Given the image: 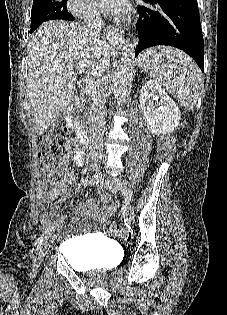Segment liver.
Wrapping results in <instances>:
<instances>
[{
    "label": "liver",
    "instance_id": "obj_1",
    "mask_svg": "<svg viewBox=\"0 0 227 315\" xmlns=\"http://www.w3.org/2000/svg\"><path fill=\"white\" fill-rule=\"evenodd\" d=\"M28 89L37 134L43 132L74 101L78 71L86 64L95 78L109 68L110 47L74 22L42 24L27 45Z\"/></svg>",
    "mask_w": 227,
    "mask_h": 315
}]
</instances>
